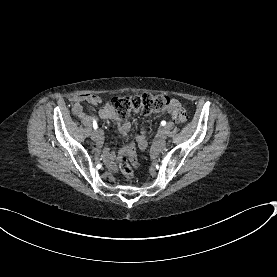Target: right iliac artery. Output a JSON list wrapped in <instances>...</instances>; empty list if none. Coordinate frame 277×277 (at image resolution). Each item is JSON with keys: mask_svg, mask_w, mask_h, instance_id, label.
<instances>
[{"mask_svg": "<svg viewBox=\"0 0 277 277\" xmlns=\"http://www.w3.org/2000/svg\"><path fill=\"white\" fill-rule=\"evenodd\" d=\"M93 128L96 130L97 129V122L93 120Z\"/></svg>", "mask_w": 277, "mask_h": 277, "instance_id": "82829eb1", "label": "right iliac artery"}]
</instances>
